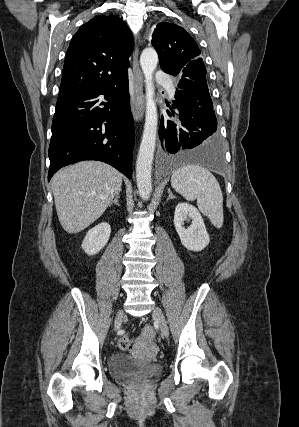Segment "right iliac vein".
I'll return each mask as SVG.
<instances>
[{
  "label": "right iliac vein",
  "mask_w": 299,
  "mask_h": 427,
  "mask_svg": "<svg viewBox=\"0 0 299 427\" xmlns=\"http://www.w3.org/2000/svg\"><path fill=\"white\" fill-rule=\"evenodd\" d=\"M123 316H124L123 310H119L115 318V323H114L115 329L120 328Z\"/></svg>",
  "instance_id": "1"
}]
</instances>
